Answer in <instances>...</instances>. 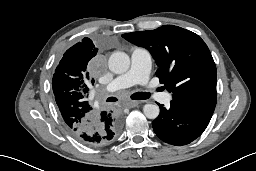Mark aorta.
Listing matches in <instances>:
<instances>
[{
  "instance_id": "aorta-1",
  "label": "aorta",
  "mask_w": 256,
  "mask_h": 171,
  "mask_svg": "<svg viewBox=\"0 0 256 171\" xmlns=\"http://www.w3.org/2000/svg\"><path fill=\"white\" fill-rule=\"evenodd\" d=\"M109 69L116 73L122 74L130 67V58L125 52H114L108 60ZM144 115L148 119H156L159 115L160 109L156 104H146L143 107Z\"/></svg>"
}]
</instances>
